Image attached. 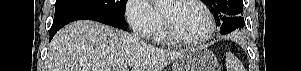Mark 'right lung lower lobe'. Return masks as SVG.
<instances>
[{"instance_id":"obj_1","label":"right lung lower lobe","mask_w":301,"mask_h":71,"mask_svg":"<svg viewBox=\"0 0 301 71\" xmlns=\"http://www.w3.org/2000/svg\"><path fill=\"white\" fill-rule=\"evenodd\" d=\"M76 20H94L122 30H127L125 25L111 16L105 15L100 12L80 11L54 18L53 24L50 29V40L64 25Z\"/></svg>"}]
</instances>
